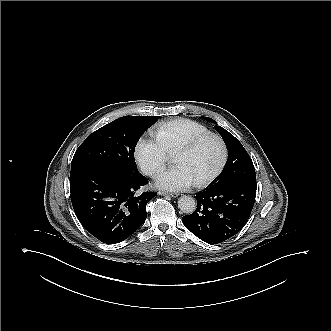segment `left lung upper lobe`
Instances as JSON below:
<instances>
[{
  "label": "left lung upper lobe",
  "mask_w": 331,
  "mask_h": 331,
  "mask_svg": "<svg viewBox=\"0 0 331 331\" xmlns=\"http://www.w3.org/2000/svg\"><path fill=\"white\" fill-rule=\"evenodd\" d=\"M204 118L216 123L211 118ZM216 129L222 136L229 155L219 180L213 186H223L234 182H244L256 186L254 165L242 144L224 128L217 126Z\"/></svg>",
  "instance_id": "1"
}]
</instances>
